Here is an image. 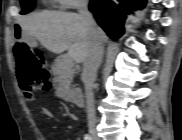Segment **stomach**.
<instances>
[{"label": "stomach", "mask_w": 182, "mask_h": 140, "mask_svg": "<svg viewBox=\"0 0 182 140\" xmlns=\"http://www.w3.org/2000/svg\"><path fill=\"white\" fill-rule=\"evenodd\" d=\"M11 27H14V30H25V25H22V22H11ZM16 41L22 43L26 41L30 46L36 44L35 39L32 36H27V31H15Z\"/></svg>", "instance_id": "obj_1"}]
</instances>
